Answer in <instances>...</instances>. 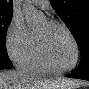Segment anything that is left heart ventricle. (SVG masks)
Returning a JSON list of instances; mask_svg holds the SVG:
<instances>
[{"label":"left heart ventricle","mask_w":89,"mask_h":89,"mask_svg":"<svg viewBox=\"0 0 89 89\" xmlns=\"http://www.w3.org/2000/svg\"><path fill=\"white\" fill-rule=\"evenodd\" d=\"M34 32L38 35L46 55L54 68L63 69L72 65L75 49L66 31L42 21Z\"/></svg>","instance_id":"left-heart-ventricle-1"}]
</instances>
